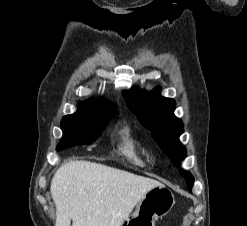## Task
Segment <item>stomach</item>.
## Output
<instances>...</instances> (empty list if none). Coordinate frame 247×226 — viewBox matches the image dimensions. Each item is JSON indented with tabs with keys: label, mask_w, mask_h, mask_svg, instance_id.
<instances>
[{
	"label": "stomach",
	"mask_w": 247,
	"mask_h": 226,
	"mask_svg": "<svg viewBox=\"0 0 247 226\" xmlns=\"http://www.w3.org/2000/svg\"><path fill=\"white\" fill-rule=\"evenodd\" d=\"M175 199L172 191L164 185L148 190L136 206L135 212L120 226H155V220L166 215Z\"/></svg>",
	"instance_id": "stomach-1"
}]
</instances>
